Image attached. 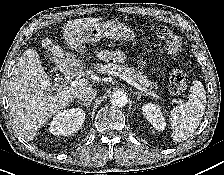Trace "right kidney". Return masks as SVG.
Returning a JSON list of instances; mask_svg holds the SVG:
<instances>
[{
	"mask_svg": "<svg viewBox=\"0 0 224 175\" xmlns=\"http://www.w3.org/2000/svg\"><path fill=\"white\" fill-rule=\"evenodd\" d=\"M85 115V112L80 108H72L59 112L50 122L49 130L54 135H72L82 126Z\"/></svg>",
	"mask_w": 224,
	"mask_h": 175,
	"instance_id": "right-kidney-1",
	"label": "right kidney"
}]
</instances>
